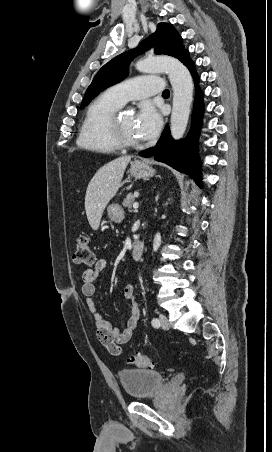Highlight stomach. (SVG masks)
I'll return each mask as SVG.
<instances>
[{
	"mask_svg": "<svg viewBox=\"0 0 272 452\" xmlns=\"http://www.w3.org/2000/svg\"><path fill=\"white\" fill-rule=\"evenodd\" d=\"M129 173L135 178L147 179L155 174V169H153L149 161L136 159L130 162ZM107 212L111 221L120 223L124 219V211L119 204L109 205Z\"/></svg>",
	"mask_w": 272,
	"mask_h": 452,
	"instance_id": "stomach-1",
	"label": "stomach"
}]
</instances>
